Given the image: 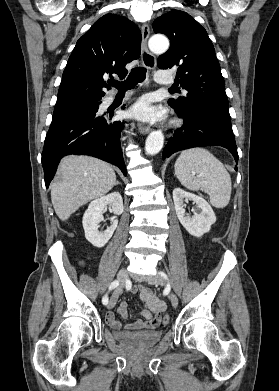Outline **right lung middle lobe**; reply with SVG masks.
<instances>
[{
    "instance_id": "obj_1",
    "label": "right lung middle lobe",
    "mask_w": 279,
    "mask_h": 391,
    "mask_svg": "<svg viewBox=\"0 0 279 391\" xmlns=\"http://www.w3.org/2000/svg\"><path fill=\"white\" fill-rule=\"evenodd\" d=\"M90 103H95V102H89L88 104H90ZM83 104H85V103H83Z\"/></svg>"
}]
</instances>
